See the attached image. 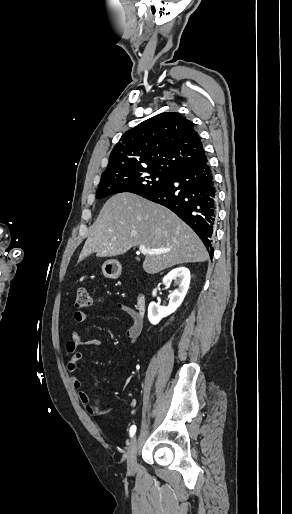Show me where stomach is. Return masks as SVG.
Wrapping results in <instances>:
<instances>
[{
  "label": "stomach",
  "mask_w": 292,
  "mask_h": 514,
  "mask_svg": "<svg viewBox=\"0 0 292 514\" xmlns=\"http://www.w3.org/2000/svg\"><path fill=\"white\" fill-rule=\"evenodd\" d=\"M102 272L105 278H119L122 272V266L117 260H107L102 264Z\"/></svg>",
  "instance_id": "1"
}]
</instances>
